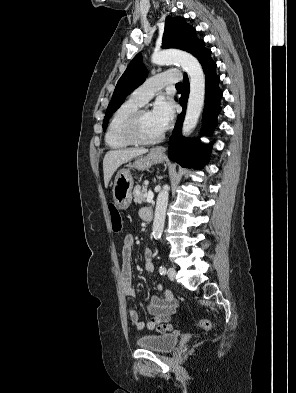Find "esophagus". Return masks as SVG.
<instances>
[{"mask_svg": "<svg viewBox=\"0 0 296 393\" xmlns=\"http://www.w3.org/2000/svg\"><path fill=\"white\" fill-rule=\"evenodd\" d=\"M165 150H166V148H165V147H162V146L156 147V148L154 149V151H155L156 153H159V154H164Z\"/></svg>", "mask_w": 296, "mask_h": 393, "instance_id": "1", "label": "esophagus"}]
</instances>
